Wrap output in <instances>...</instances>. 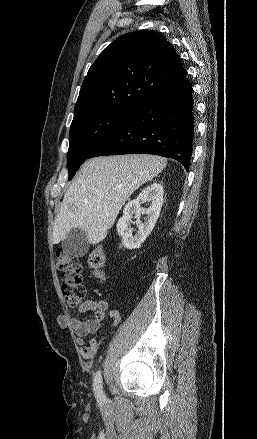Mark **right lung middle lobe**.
Returning <instances> with one entry per match:
<instances>
[{"label":"right lung middle lobe","mask_w":257,"mask_h":439,"mask_svg":"<svg viewBox=\"0 0 257 439\" xmlns=\"http://www.w3.org/2000/svg\"><path fill=\"white\" fill-rule=\"evenodd\" d=\"M131 113L92 111L73 118L69 132L68 170L71 180L99 143Z\"/></svg>","instance_id":"1"}]
</instances>
